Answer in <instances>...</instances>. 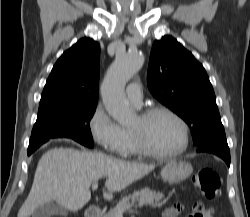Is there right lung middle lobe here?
Returning <instances> with one entry per match:
<instances>
[{
    "instance_id": "1",
    "label": "right lung middle lobe",
    "mask_w": 250,
    "mask_h": 217,
    "mask_svg": "<svg viewBox=\"0 0 250 217\" xmlns=\"http://www.w3.org/2000/svg\"><path fill=\"white\" fill-rule=\"evenodd\" d=\"M96 104L79 105L39 113L33 127L28 155L52 138H71L80 144L93 147L89 122Z\"/></svg>"
}]
</instances>
